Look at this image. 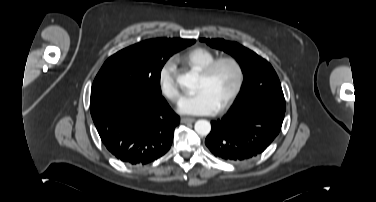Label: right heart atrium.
Returning a JSON list of instances; mask_svg holds the SVG:
<instances>
[{
	"label": "right heart atrium",
	"instance_id": "obj_1",
	"mask_svg": "<svg viewBox=\"0 0 376 202\" xmlns=\"http://www.w3.org/2000/svg\"><path fill=\"white\" fill-rule=\"evenodd\" d=\"M158 86L160 92L170 101L176 102L179 98V89L176 82L175 63L167 60L161 66L158 73Z\"/></svg>",
	"mask_w": 376,
	"mask_h": 202
}]
</instances>
